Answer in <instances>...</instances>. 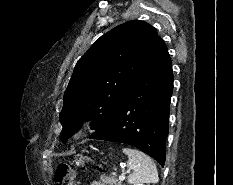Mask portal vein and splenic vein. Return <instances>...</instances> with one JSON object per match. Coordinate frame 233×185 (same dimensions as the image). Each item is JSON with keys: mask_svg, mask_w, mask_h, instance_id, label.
Instances as JSON below:
<instances>
[{"mask_svg": "<svg viewBox=\"0 0 233 185\" xmlns=\"http://www.w3.org/2000/svg\"><path fill=\"white\" fill-rule=\"evenodd\" d=\"M126 173H130V171L127 172H123L120 176H119V180H124L126 178Z\"/></svg>", "mask_w": 233, "mask_h": 185, "instance_id": "18ae733b", "label": "portal vein and splenic vein"}]
</instances>
